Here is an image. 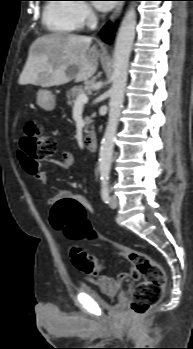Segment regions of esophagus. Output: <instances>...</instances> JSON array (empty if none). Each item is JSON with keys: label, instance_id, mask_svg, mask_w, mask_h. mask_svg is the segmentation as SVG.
<instances>
[{"label": "esophagus", "instance_id": "obj_1", "mask_svg": "<svg viewBox=\"0 0 193 349\" xmlns=\"http://www.w3.org/2000/svg\"><path fill=\"white\" fill-rule=\"evenodd\" d=\"M122 8H123V3H122V1H119L116 4V7H115V9H114V11H113V13L111 15V18H110L111 22H114L120 16Z\"/></svg>", "mask_w": 193, "mask_h": 349}]
</instances>
